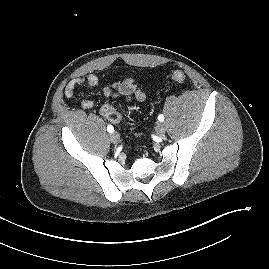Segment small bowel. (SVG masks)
<instances>
[{
	"mask_svg": "<svg viewBox=\"0 0 269 269\" xmlns=\"http://www.w3.org/2000/svg\"><path fill=\"white\" fill-rule=\"evenodd\" d=\"M97 84L98 78L94 74L72 79L65 87V96L67 98H72L75 95L76 88L80 85L93 87ZM102 90L103 93L108 97H122L128 101L133 99L137 101H143L145 99V93L143 90L138 87L136 83L130 78L109 84L103 87ZM81 106L84 109H91L94 106V102L92 100H84L81 102ZM101 113L106 117L105 104L101 108Z\"/></svg>",
	"mask_w": 269,
	"mask_h": 269,
	"instance_id": "c3829d8e",
	"label": "small bowel"
}]
</instances>
